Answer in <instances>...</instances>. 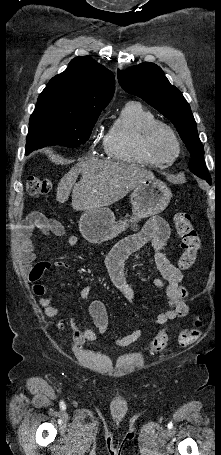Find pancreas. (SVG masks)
I'll return each mask as SVG.
<instances>
[{
    "label": "pancreas",
    "instance_id": "cf45deb5",
    "mask_svg": "<svg viewBox=\"0 0 221 455\" xmlns=\"http://www.w3.org/2000/svg\"><path fill=\"white\" fill-rule=\"evenodd\" d=\"M137 227H138V226H137L136 224L132 225V228H133V229H137Z\"/></svg>",
    "mask_w": 221,
    "mask_h": 455
}]
</instances>
